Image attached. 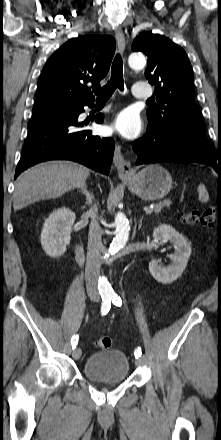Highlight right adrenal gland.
Wrapping results in <instances>:
<instances>
[{
	"mask_svg": "<svg viewBox=\"0 0 221 440\" xmlns=\"http://www.w3.org/2000/svg\"><path fill=\"white\" fill-rule=\"evenodd\" d=\"M86 196V205H91L94 200V195L92 192L88 191L87 186L84 185L80 188V190Z\"/></svg>",
	"mask_w": 221,
	"mask_h": 440,
	"instance_id": "right-adrenal-gland-1",
	"label": "right adrenal gland"
}]
</instances>
